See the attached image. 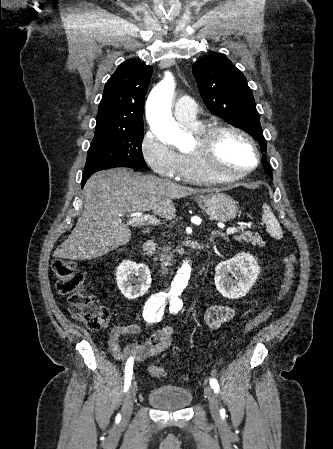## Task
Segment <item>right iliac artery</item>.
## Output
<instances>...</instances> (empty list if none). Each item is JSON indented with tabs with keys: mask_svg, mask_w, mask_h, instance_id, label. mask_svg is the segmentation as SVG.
Listing matches in <instances>:
<instances>
[{
	"mask_svg": "<svg viewBox=\"0 0 333 449\" xmlns=\"http://www.w3.org/2000/svg\"><path fill=\"white\" fill-rule=\"evenodd\" d=\"M166 296L162 293H158L152 295L145 303L143 310V317L149 323L153 321H161L162 316L164 314L163 304L165 303ZM133 374V359L130 358L126 362L125 366V382H124V391L126 392L129 389L131 384Z\"/></svg>",
	"mask_w": 333,
	"mask_h": 449,
	"instance_id": "82829eb1",
	"label": "right iliac artery"
}]
</instances>
